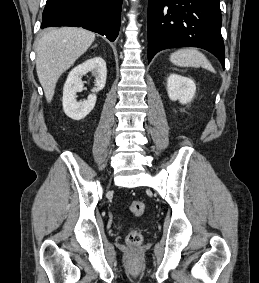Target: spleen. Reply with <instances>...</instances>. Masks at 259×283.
<instances>
[{
	"mask_svg": "<svg viewBox=\"0 0 259 283\" xmlns=\"http://www.w3.org/2000/svg\"><path fill=\"white\" fill-rule=\"evenodd\" d=\"M170 61L179 67H203L211 72H215L213 66L208 59L201 52L191 49L184 48L179 49L170 56Z\"/></svg>",
	"mask_w": 259,
	"mask_h": 283,
	"instance_id": "3e777b00",
	"label": "spleen"
}]
</instances>
